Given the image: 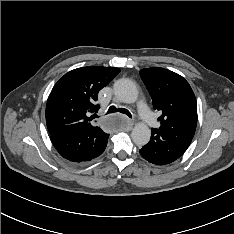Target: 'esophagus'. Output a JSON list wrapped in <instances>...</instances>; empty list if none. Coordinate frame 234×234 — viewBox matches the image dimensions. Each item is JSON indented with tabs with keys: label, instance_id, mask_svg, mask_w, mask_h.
<instances>
[{
	"label": "esophagus",
	"instance_id": "esophagus-1",
	"mask_svg": "<svg viewBox=\"0 0 234 234\" xmlns=\"http://www.w3.org/2000/svg\"><path fill=\"white\" fill-rule=\"evenodd\" d=\"M132 126H133V122L130 121V120H128L127 121V128H128V130H130L132 128Z\"/></svg>",
	"mask_w": 234,
	"mask_h": 234
}]
</instances>
